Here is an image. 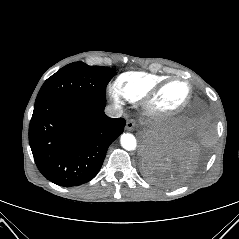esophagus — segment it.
<instances>
[{
    "label": "esophagus",
    "mask_w": 239,
    "mask_h": 239,
    "mask_svg": "<svg viewBox=\"0 0 239 239\" xmlns=\"http://www.w3.org/2000/svg\"><path fill=\"white\" fill-rule=\"evenodd\" d=\"M135 126H136V122L132 119L128 120L127 123H126V129L128 131H132Z\"/></svg>",
    "instance_id": "1"
}]
</instances>
